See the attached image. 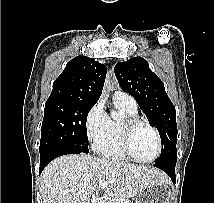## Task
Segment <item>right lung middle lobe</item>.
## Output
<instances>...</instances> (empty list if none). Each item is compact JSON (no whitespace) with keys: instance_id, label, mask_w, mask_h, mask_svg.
I'll return each mask as SVG.
<instances>
[{"instance_id":"obj_1","label":"right lung middle lobe","mask_w":214,"mask_h":203,"mask_svg":"<svg viewBox=\"0 0 214 203\" xmlns=\"http://www.w3.org/2000/svg\"><path fill=\"white\" fill-rule=\"evenodd\" d=\"M94 103L47 100L41 127L40 154L67 148L88 153L87 115Z\"/></svg>"}]
</instances>
